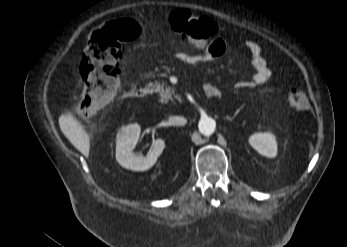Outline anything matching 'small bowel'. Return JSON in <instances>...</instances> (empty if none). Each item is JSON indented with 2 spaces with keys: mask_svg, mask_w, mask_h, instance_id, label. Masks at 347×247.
Segmentation results:
<instances>
[{
  "mask_svg": "<svg viewBox=\"0 0 347 247\" xmlns=\"http://www.w3.org/2000/svg\"><path fill=\"white\" fill-rule=\"evenodd\" d=\"M227 47L226 40L223 37H217L205 42L203 45L196 46L198 49L197 53L178 52L176 58L184 64L196 65L221 58L226 53ZM245 47L250 53L255 73L251 79L238 82L237 87L252 88L265 83L271 77V69L268 66L266 58L262 54L261 46L257 42L248 40L245 42ZM206 87L215 88L218 94L220 92L214 85L207 84Z\"/></svg>",
  "mask_w": 347,
  "mask_h": 247,
  "instance_id": "obj_1",
  "label": "small bowel"
}]
</instances>
